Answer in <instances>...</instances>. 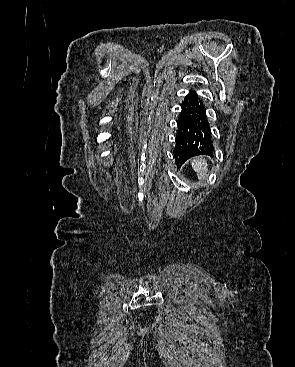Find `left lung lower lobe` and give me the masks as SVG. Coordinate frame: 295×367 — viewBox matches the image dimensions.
Segmentation results:
<instances>
[{
    "instance_id": "0a47b994",
    "label": "left lung lower lobe",
    "mask_w": 295,
    "mask_h": 367,
    "mask_svg": "<svg viewBox=\"0 0 295 367\" xmlns=\"http://www.w3.org/2000/svg\"><path fill=\"white\" fill-rule=\"evenodd\" d=\"M181 107L174 149V157L178 165L197 155L212 154L214 150L203 101L194 91H190L182 101Z\"/></svg>"
}]
</instances>
